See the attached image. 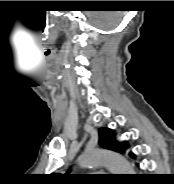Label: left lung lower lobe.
Segmentation results:
<instances>
[{
	"mask_svg": "<svg viewBox=\"0 0 174 184\" xmlns=\"http://www.w3.org/2000/svg\"><path fill=\"white\" fill-rule=\"evenodd\" d=\"M130 156H131V157H134V155H133L132 153H130Z\"/></svg>",
	"mask_w": 174,
	"mask_h": 184,
	"instance_id": "obj_1",
	"label": "left lung lower lobe"
}]
</instances>
